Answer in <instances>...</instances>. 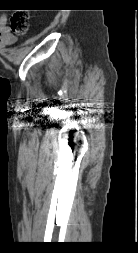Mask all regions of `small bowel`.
<instances>
[{
	"label": "small bowel",
	"instance_id": "small-bowel-1",
	"mask_svg": "<svg viewBox=\"0 0 138 253\" xmlns=\"http://www.w3.org/2000/svg\"><path fill=\"white\" fill-rule=\"evenodd\" d=\"M16 40L11 28L5 23L4 18H0V47H6L14 43Z\"/></svg>",
	"mask_w": 138,
	"mask_h": 253
}]
</instances>
